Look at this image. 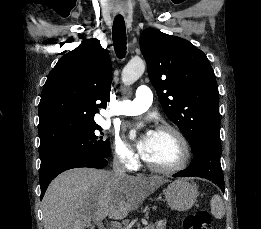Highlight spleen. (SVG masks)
<instances>
[{"mask_svg":"<svg viewBox=\"0 0 261 229\" xmlns=\"http://www.w3.org/2000/svg\"><path fill=\"white\" fill-rule=\"evenodd\" d=\"M211 213L215 219H223L225 215L224 203L219 195H214L211 199Z\"/></svg>","mask_w":261,"mask_h":229,"instance_id":"spleen-1","label":"spleen"}]
</instances>
